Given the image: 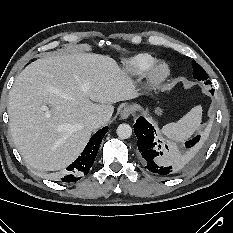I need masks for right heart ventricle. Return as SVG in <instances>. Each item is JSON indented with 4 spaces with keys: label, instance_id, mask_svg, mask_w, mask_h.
<instances>
[{
    "label": "right heart ventricle",
    "instance_id": "obj_1",
    "mask_svg": "<svg viewBox=\"0 0 233 233\" xmlns=\"http://www.w3.org/2000/svg\"><path fill=\"white\" fill-rule=\"evenodd\" d=\"M155 63V58L147 53H139L124 63V68L130 75H141L147 72Z\"/></svg>",
    "mask_w": 233,
    "mask_h": 233
}]
</instances>
